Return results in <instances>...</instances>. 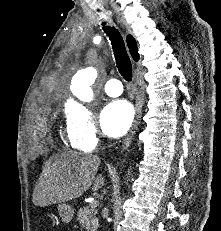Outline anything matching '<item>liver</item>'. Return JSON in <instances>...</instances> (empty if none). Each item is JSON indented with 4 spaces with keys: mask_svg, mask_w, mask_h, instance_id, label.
Returning <instances> with one entry per match:
<instances>
[{
    "mask_svg": "<svg viewBox=\"0 0 221 231\" xmlns=\"http://www.w3.org/2000/svg\"><path fill=\"white\" fill-rule=\"evenodd\" d=\"M100 158L91 154L64 151L52 155L45 163L33 192V203L46 207L80 197L91 186L93 191L104 185L102 174L96 176Z\"/></svg>",
    "mask_w": 221,
    "mask_h": 231,
    "instance_id": "1",
    "label": "liver"
}]
</instances>
